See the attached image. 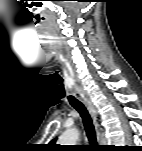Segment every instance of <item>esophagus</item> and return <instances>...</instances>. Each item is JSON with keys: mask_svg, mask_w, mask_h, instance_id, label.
Returning <instances> with one entry per match:
<instances>
[{"mask_svg": "<svg viewBox=\"0 0 142 151\" xmlns=\"http://www.w3.org/2000/svg\"><path fill=\"white\" fill-rule=\"evenodd\" d=\"M76 93L95 119V109L89 98L86 96L85 92L82 89L78 88Z\"/></svg>", "mask_w": 142, "mask_h": 151, "instance_id": "34e87169", "label": "esophagus"}]
</instances>
